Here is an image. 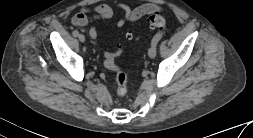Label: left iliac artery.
Segmentation results:
<instances>
[{
  "label": "left iliac artery",
  "instance_id": "obj_1",
  "mask_svg": "<svg viewBox=\"0 0 253 138\" xmlns=\"http://www.w3.org/2000/svg\"><path fill=\"white\" fill-rule=\"evenodd\" d=\"M162 36H163V33L161 32L157 33L152 39V44H157L162 38Z\"/></svg>",
  "mask_w": 253,
  "mask_h": 138
}]
</instances>
